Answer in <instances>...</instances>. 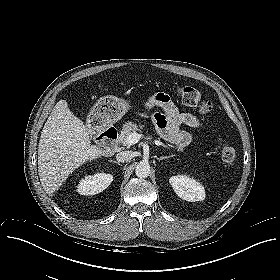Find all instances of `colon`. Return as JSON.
Masks as SVG:
<instances>
[{
	"label": "colon",
	"instance_id": "5ec220e1",
	"mask_svg": "<svg viewBox=\"0 0 280 280\" xmlns=\"http://www.w3.org/2000/svg\"><path fill=\"white\" fill-rule=\"evenodd\" d=\"M177 93L183 104L196 107L203 116L211 115L213 109L211 102L205 99L196 88L182 85L178 87ZM220 157L225 164L234 163L237 157L235 148L222 141Z\"/></svg>",
	"mask_w": 280,
	"mask_h": 280
}]
</instances>
